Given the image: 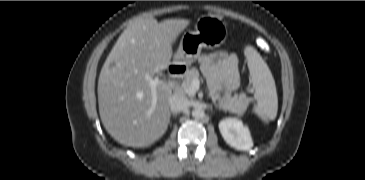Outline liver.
<instances>
[{"label": "liver", "mask_w": 365, "mask_h": 180, "mask_svg": "<svg viewBox=\"0 0 365 180\" xmlns=\"http://www.w3.org/2000/svg\"><path fill=\"white\" fill-rule=\"evenodd\" d=\"M190 24L186 19L158 23L137 18L129 23L109 53L99 75V114L106 131L119 143L147 147L160 139L170 122L171 87L158 84L154 111L146 76L169 67L172 45Z\"/></svg>", "instance_id": "obj_1"}]
</instances>
